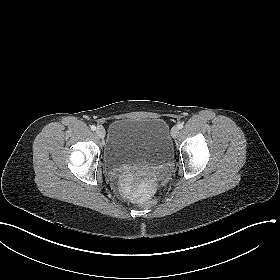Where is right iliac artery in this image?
<instances>
[{"instance_id": "obj_1", "label": "right iliac artery", "mask_w": 280, "mask_h": 280, "mask_svg": "<svg viewBox=\"0 0 280 280\" xmlns=\"http://www.w3.org/2000/svg\"><path fill=\"white\" fill-rule=\"evenodd\" d=\"M91 130L95 131V130H96V126H95V125H92V126H91Z\"/></svg>"}]
</instances>
